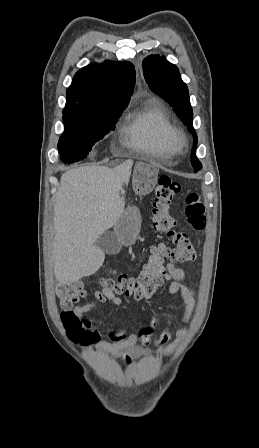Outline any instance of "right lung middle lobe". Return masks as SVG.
I'll list each match as a JSON object with an SVG mask.
<instances>
[{"mask_svg": "<svg viewBox=\"0 0 259 448\" xmlns=\"http://www.w3.org/2000/svg\"><path fill=\"white\" fill-rule=\"evenodd\" d=\"M123 109H109L63 115L65 131L59 138L58 151L65 163L78 162L92 146L114 130Z\"/></svg>", "mask_w": 259, "mask_h": 448, "instance_id": "dd1d6c3e", "label": "right lung middle lobe"}]
</instances>
